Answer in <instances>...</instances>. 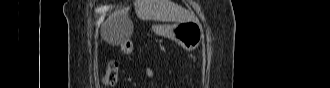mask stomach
<instances>
[{"label":"stomach","mask_w":330,"mask_h":88,"mask_svg":"<svg viewBox=\"0 0 330 88\" xmlns=\"http://www.w3.org/2000/svg\"><path fill=\"white\" fill-rule=\"evenodd\" d=\"M166 36L176 41L186 50L197 48L203 39L202 27L194 21L179 22L165 27Z\"/></svg>","instance_id":"obj_1"}]
</instances>
